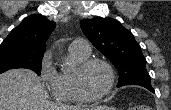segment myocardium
<instances>
[{
	"label": "myocardium",
	"mask_w": 171,
	"mask_h": 110,
	"mask_svg": "<svg viewBox=\"0 0 171 110\" xmlns=\"http://www.w3.org/2000/svg\"><path fill=\"white\" fill-rule=\"evenodd\" d=\"M94 64L103 65L109 73V84L107 88L100 94L91 96L85 92L82 87V76L85 71ZM116 82V74L113 66L106 60L100 58H90L82 62L77 66L72 74V87L75 95L80 101L83 102H95L107 97L113 90Z\"/></svg>",
	"instance_id": "myocardium-1"
}]
</instances>
